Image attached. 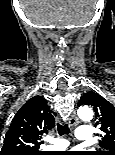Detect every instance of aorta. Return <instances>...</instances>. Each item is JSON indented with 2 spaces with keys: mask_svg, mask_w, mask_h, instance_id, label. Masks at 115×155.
Here are the masks:
<instances>
[{
  "mask_svg": "<svg viewBox=\"0 0 115 155\" xmlns=\"http://www.w3.org/2000/svg\"><path fill=\"white\" fill-rule=\"evenodd\" d=\"M77 114L82 121L88 122L93 118V110L89 106H82L78 109Z\"/></svg>",
  "mask_w": 115,
  "mask_h": 155,
  "instance_id": "aorta-1",
  "label": "aorta"
}]
</instances>
